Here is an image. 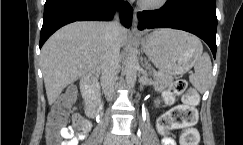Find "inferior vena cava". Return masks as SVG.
I'll return each mask as SVG.
<instances>
[{"instance_id": "obj_1", "label": "inferior vena cava", "mask_w": 243, "mask_h": 145, "mask_svg": "<svg viewBox=\"0 0 243 145\" xmlns=\"http://www.w3.org/2000/svg\"><path fill=\"white\" fill-rule=\"evenodd\" d=\"M120 25L118 21H112L106 25V41L104 52L100 64L101 86L107 100H112L115 92V82L117 79L120 60Z\"/></svg>"}]
</instances>
